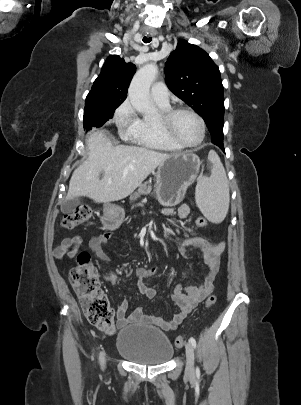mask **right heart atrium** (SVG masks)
Instances as JSON below:
<instances>
[{
	"instance_id": "obj_1",
	"label": "right heart atrium",
	"mask_w": 301,
	"mask_h": 405,
	"mask_svg": "<svg viewBox=\"0 0 301 405\" xmlns=\"http://www.w3.org/2000/svg\"><path fill=\"white\" fill-rule=\"evenodd\" d=\"M117 127L128 134L138 121L136 111L129 99L123 101L114 113Z\"/></svg>"
}]
</instances>
